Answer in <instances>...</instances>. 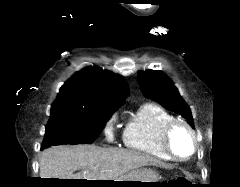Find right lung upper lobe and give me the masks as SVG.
<instances>
[{"label": "right lung upper lobe", "mask_w": 240, "mask_h": 187, "mask_svg": "<svg viewBox=\"0 0 240 187\" xmlns=\"http://www.w3.org/2000/svg\"><path fill=\"white\" fill-rule=\"evenodd\" d=\"M127 93L128 85L119 75L99 67H87L65 82L52 108L111 111L123 103Z\"/></svg>", "instance_id": "right-lung-upper-lobe-1"}]
</instances>
